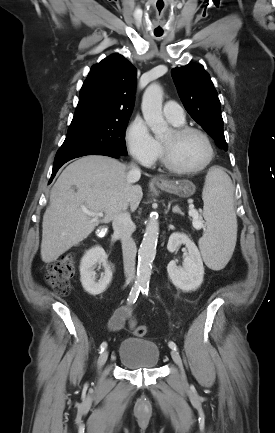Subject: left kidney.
<instances>
[{"label": "left kidney", "mask_w": 275, "mask_h": 433, "mask_svg": "<svg viewBox=\"0 0 275 433\" xmlns=\"http://www.w3.org/2000/svg\"><path fill=\"white\" fill-rule=\"evenodd\" d=\"M181 244H184L188 249L183 265L182 267L177 266L176 262L172 260L167 266V272L177 288L188 292L196 290L203 282L204 267L197 246L185 234L173 233L169 237L167 249L171 253L175 252Z\"/></svg>", "instance_id": "1"}]
</instances>
